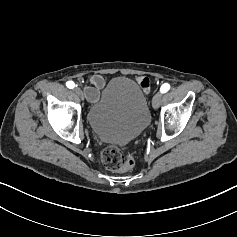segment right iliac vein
Returning <instances> with one entry per match:
<instances>
[{"mask_svg":"<svg viewBox=\"0 0 237 237\" xmlns=\"http://www.w3.org/2000/svg\"><path fill=\"white\" fill-rule=\"evenodd\" d=\"M74 90H75V93L83 100L84 96H83L81 89L76 87Z\"/></svg>","mask_w":237,"mask_h":237,"instance_id":"63e3f726","label":"right iliac vein"}]
</instances>
